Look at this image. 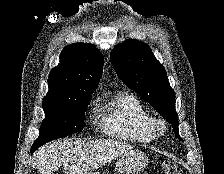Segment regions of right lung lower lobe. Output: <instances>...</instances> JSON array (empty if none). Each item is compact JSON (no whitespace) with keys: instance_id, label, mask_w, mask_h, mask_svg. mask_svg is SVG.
Instances as JSON below:
<instances>
[{"instance_id":"1","label":"right lung lower lobe","mask_w":224,"mask_h":174,"mask_svg":"<svg viewBox=\"0 0 224 174\" xmlns=\"http://www.w3.org/2000/svg\"><path fill=\"white\" fill-rule=\"evenodd\" d=\"M37 148H31V154L36 150Z\"/></svg>"}]
</instances>
